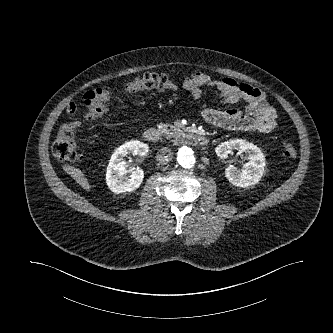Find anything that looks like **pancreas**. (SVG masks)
Returning <instances> with one entry per match:
<instances>
[{"label":"pancreas","mask_w":333,"mask_h":333,"mask_svg":"<svg viewBox=\"0 0 333 333\" xmlns=\"http://www.w3.org/2000/svg\"><path fill=\"white\" fill-rule=\"evenodd\" d=\"M158 131L161 135L171 138L176 135L178 129L168 123H160L158 125Z\"/></svg>","instance_id":"pancreas-1"}]
</instances>
